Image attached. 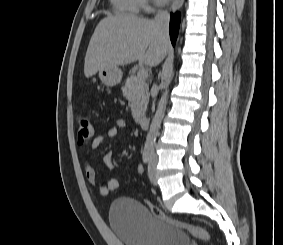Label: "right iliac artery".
Instances as JSON below:
<instances>
[{"label": "right iliac artery", "instance_id": "1", "mask_svg": "<svg viewBox=\"0 0 283 245\" xmlns=\"http://www.w3.org/2000/svg\"><path fill=\"white\" fill-rule=\"evenodd\" d=\"M150 156H151V151H150L149 149H145V150L143 151V156H142L143 162H144L145 164H147V163L149 162Z\"/></svg>", "mask_w": 283, "mask_h": 245}]
</instances>
